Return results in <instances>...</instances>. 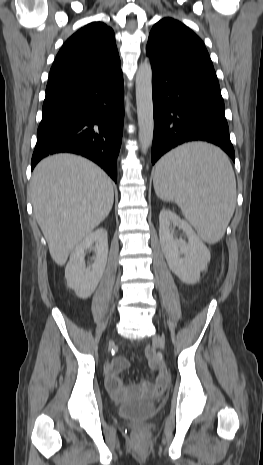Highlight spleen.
I'll return each mask as SVG.
<instances>
[{"label": "spleen", "mask_w": 263, "mask_h": 465, "mask_svg": "<svg viewBox=\"0 0 263 465\" xmlns=\"http://www.w3.org/2000/svg\"><path fill=\"white\" fill-rule=\"evenodd\" d=\"M154 189L175 202L207 243L221 240L234 213L236 180L228 157L205 143L182 145L157 163Z\"/></svg>", "instance_id": "obj_1"}]
</instances>
